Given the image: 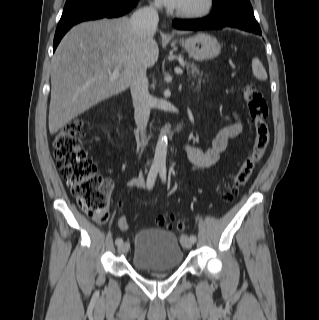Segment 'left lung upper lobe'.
<instances>
[{
  "label": "left lung upper lobe",
  "instance_id": "obj_1",
  "mask_svg": "<svg viewBox=\"0 0 319 320\" xmlns=\"http://www.w3.org/2000/svg\"><path fill=\"white\" fill-rule=\"evenodd\" d=\"M228 0H213L214 6H219L220 4H222L223 2H226Z\"/></svg>",
  "mask_w": 319,
  "mask_h": 320
}]
</instances>
